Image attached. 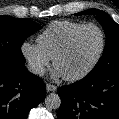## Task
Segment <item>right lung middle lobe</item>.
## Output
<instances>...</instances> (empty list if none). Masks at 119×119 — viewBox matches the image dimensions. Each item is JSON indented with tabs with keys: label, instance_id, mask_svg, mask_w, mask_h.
<instances>
[{
	"label": "right lung middle lobe",
	"instance_id": "dd1d6c3e",
	"mask_svg": "<svg viewBox=\"0 0 119 119\" xmlns=\"http://www.w3.org/2000/svg\"><path fill=\"white\" fill-rule=\"evenodd\" d=\"M40 28L26 18L0 16V63H24L22 43Z\"/></svg>",
	"mask_w": 119,
	"mask_h": 119
}]
</instances>
